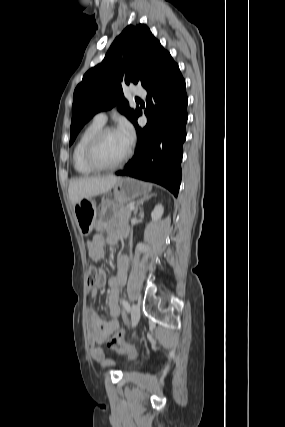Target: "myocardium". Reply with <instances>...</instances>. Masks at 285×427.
<instances>
[{
	"label": "myocardium",
	"instance_id": "myocardium-1",
	"mask_svg": "<svg viewBox=\"0 0 285 427\" xmlns=\"http://www.w3.org/2000/svg\"><path fill=\"white\" fill-rule=\"evenodd\" d=\"M117 129L113 126H105L101 128L87 143L84 151V159L88 166L96 171H108L122 166L132 155V147L128 148L125 155L118 161L111 164H104L98 159V150L105 136Z\"/></svg>",
	"mask_w": 285,
	"mask_h": 427
}]
</instances>
